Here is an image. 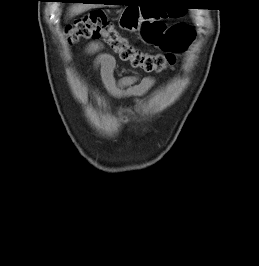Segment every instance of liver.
<instances>
[{
  "label": "liver",
  "mask_w": 259,
  "mask_h": 266,
  "mask_svg": "<svg viewBox=\"0 0 259 266\" xmlns=\"http://www.w3.org/2000/svg\"><path fill=\"white\" fill-rule=\"evenodd\" d=\"M90 8H92V6L89 4L76 3L69 8V14L68 15H69V17H73L75 15H79V14L85 12L86 10H88Z\"/></svg>",
  "instance_id": "1"
}]
</instances>
